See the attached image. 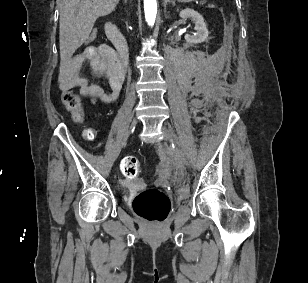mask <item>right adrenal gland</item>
Segmentation results:
<instances>
[{"label":"right adrenal gland","instance_id":"1","mask_svg":"<svg viewBox=\"0 0 308 283\" xmlns=\"http://www.w3.org/2000/svg\"><path fill=\"white\" fill-rule=\"evenodd\" d=\"M124 3L126 4V3H127V0H124Z\"/></svg>","mask_w":308,"mask_h":283}]
</instances>
